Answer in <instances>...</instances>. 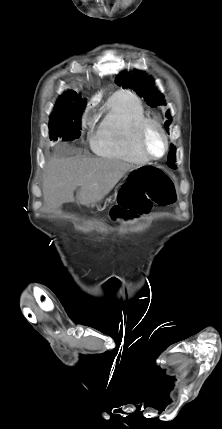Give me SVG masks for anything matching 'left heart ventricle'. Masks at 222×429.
<instances>
[{"label": "left heart ventricle", "instance_id": "left-heart-ventricle-1", "mask_svg": "<svg viewBox=\"0 0 222 429\" xmlns=\"http://www.w3.org/2000/svg\"><path fill=\"white\" fill-rule=\"evenodd\" d=\"M145 146L148 151L154 156H161L165 149L164 138L159 130L150 126L145 135Z\"/></svg>", "mask_w": 222, "mask_h": 429}]
</instances>
